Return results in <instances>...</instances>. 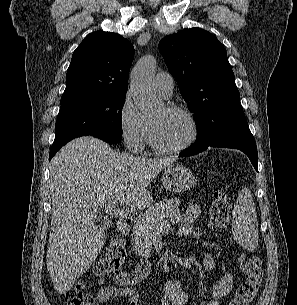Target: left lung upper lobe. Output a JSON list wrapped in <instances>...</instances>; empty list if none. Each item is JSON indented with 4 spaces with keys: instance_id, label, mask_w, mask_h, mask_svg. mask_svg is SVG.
Masks as SVG:
<instances>
[{
    "instance_id": "obj_1",
    "label": "left lung upper lobe",
    "mask_w": 297,
    "mask_h": 305,
    "mask_svg": "<svg viewBox=\"0 0 297 305\" xmlns=\"http://www.w3.org/2000/svg\"><path fill=\"white\" fill-rule=\"evenodd\" d=\"M158 47L194 114L195 144L245 117L227 53L214 35L200 28L184 29L163 38Z\"/></svg>"
}]
</instances>
